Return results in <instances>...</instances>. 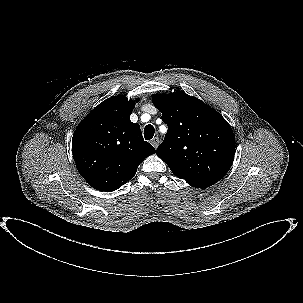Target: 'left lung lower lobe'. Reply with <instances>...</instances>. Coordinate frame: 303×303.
I'll return each mask as SVG.
<instances>
[{"label":"left lung lower lobe","instance_id":"0a47b994","mask_svg":"<svg viewBox=\"0 0 303 303\" xmlns=\"http://www.w3.org/2000/svg\"><path fill=\"white\" fill-rule=\"evenodd\" d=\"M217 181H206V182H191L189 183L191 186L195 187V188H206L209 187L211 185H213L214 183H216Z\"/></svg>","mask_w":303,"mask_h":303}]
</instances>
